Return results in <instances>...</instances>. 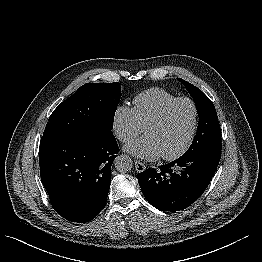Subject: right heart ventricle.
Instances as JSON below:
<instances>
[{"label": "right heart ventricle", "instance_id": "obj_1", "mask_svg": "<svg viewBox=\"0 0 262 262\" xmlns=\"http://www.w3.org/2000/svg\"><path fill=\"white\" fill-rule=\"evenodd\" d=\"M177 98L176 95L163 88H151L134 97L133 110L139 123L144 128L168 103Z\"/></svg>", "mask_w": 262, "mask_h": 262}]
</instances>
